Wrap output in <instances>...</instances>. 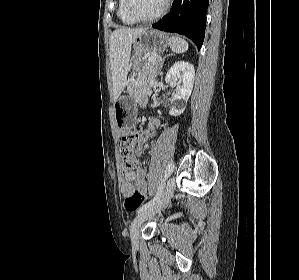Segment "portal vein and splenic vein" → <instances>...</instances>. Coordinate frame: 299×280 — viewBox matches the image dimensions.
I'll list each match as a JSON object with an SVG mask.
<instances>
[{"label": "portal vein and splenic vein", "instance_id": "obj_1", "mask_svg": "<svg viewBox=\"0 0 299 280\" xmlns=\"http://www.w3.org/2000/svg\"><path fill=\"white\" fill-rule=\"evenodd\" d=\"M157 60L158 58L154 56L148 58V61H157Z\"/></svg>", "mask_w": 299, "mask_h": 280}]
</instances>
